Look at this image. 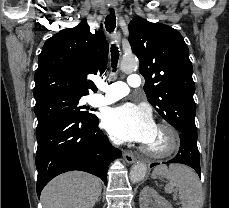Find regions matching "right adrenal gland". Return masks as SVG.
Returning <instances> with one entry per match:
<instances>
[{"label":"right adrenal gland","instance_id":"right-adrenal-gland-1","mask_svg":"<svg viewBox=\"0 0 229 208\" xmlns=\"http://www.w3.org/2000/svg\"><path fill=\"white\" fill-rule=\"evenodd\" d=\"M97 202H101V198H98Z\"/></svg>","mask_w":229,"mask_h":208}]
</instances>
